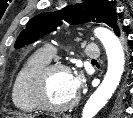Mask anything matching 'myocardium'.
Here are the masks:
<instances>
[{
    "label": "myocardium",
    "mask_w": 133,
    "mask_h": 118,
    "mask_svg": "<svg viewBox=\"0 0 133 118\" xmlns=\"http://www.w3.org/2000/svg\"><path fill=\"white\" fill-rule=\"evenodd\" d=\"M55 70H64L70 73V68L62 62H50L39 69L31 79L30 93L33 101L39 109L53 112L63 113L71 110L78 102V96H75L70 102L63 105H53L46 97V85L49 76Z\"/></svg>",
    "instance_id": "obj_1"
}]
</instances>
